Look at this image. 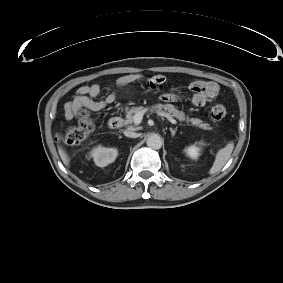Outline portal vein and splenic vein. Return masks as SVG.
<instances>
[{
    "label": "portal vein and splenic vein",
    "instance_id": "portal-vein-and-splenic-vein-1",
    "mask_svg": "<svg viewBox=\"0 0 283 283\" xmlns=\"http://www.w3.org/2000/svg\"><path fill=\"white\" fill-rule=\"evenodd\" d=\"M147 110H143L140 112H137L134 116H133V122L135 125H139L142 121L143 115ZM165 117L172 123V124H177V121L172 118V116L170 115H165Z\"/></svg>",
    "mask_w": 283,
    "mask_h": 283
}]
</instances>
